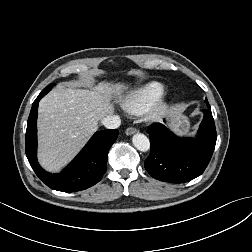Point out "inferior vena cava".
Listing matches in <instances>:
<instances>
[{
    "label": "inferior vena cava",
    "mask_w": 252,
    "mask_h": 252,
    "mask_svg": "<svg viewBox=\"0 0 252 252\" xmlns=\"http://www.w3.org/2000/svg\"><path fill=\"white\" fill-rule=\"evenodd\" d=\"M102 124L107 129H116L120 126L121 120L117 115H109L102 119Z\"/></svg>",
    "instance_id": "obj_1"
}]
</instances>
